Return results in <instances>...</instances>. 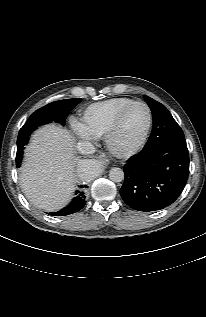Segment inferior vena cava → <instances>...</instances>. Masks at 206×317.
<instances>
[{
	"mask_svg": "<svg viewBox=\"0 0 206 317\" xmlns=\"http://www.w3.org/2000/svg\"><path fill=\"white\" fill-rule=\"evenodd\" d=\"M77 150L81 154H93L95 152V147L89 141H81L76 146Z\"/></svg>",
	"mask_w": 206,
	"mask_h": 317,
	"instance_id": "602c4592",
	"label": "inferior vena cava"
}]
</instances>
